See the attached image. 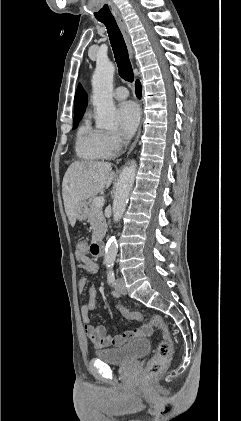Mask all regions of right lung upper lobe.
<instances>
[{
    "label": "right lung upper lobe",
    "instance_id": "right-lung-upper-lobe-1",
    "mask_svg": "<svg viewBox=\"0 0 241 421\" xmlns=\"http://www.w3.org/2000/svg\"><path fill=\"white\" fill-rule=\"evenodd\" d=\"M87 107V95L83 87L79 84L75 94L74 118L82 117Z\"/></svg>",
    "mask_w": 241,
    "mask_h": 421
}]
</instances>
